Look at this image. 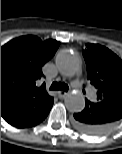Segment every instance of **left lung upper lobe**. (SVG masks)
Instances as JSON below:
<instances>
[{"label":"left lung upper lobe","mask_w":122,"mask_h":154,"mask_svg":"<svg viewBox=\"0 0 122 154\" xmlns=\"http://www.w3.org/2000/svg\"><path fill=\"white\" fill-rule=\"evenodd\" d=\"M82 53L88 79L97 89V101L122 100V60L108 48L98 44H86Z\"/></svg>","instance_id":"1"}]
</instances>
